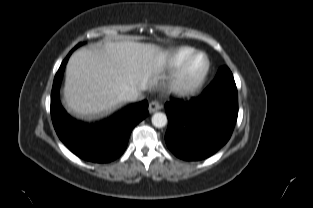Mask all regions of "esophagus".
I'll use <instances>...</instances> for the list:
<instances>
[{"instance_id": "34e87169", "label": "esophagus", "mask_w": 313, "mask_h": 208, "mask_svg": "<svg viewBox=\"0 0 313 208\" xmlns=\"http://www.w3.org/2000/svg\"><path fill=\"white\" fill-rule=\"evenodd\" d=\"M162 108V105L158 101H152L149 104V112L154 113Z\"/></svg>"}]
</instances>
